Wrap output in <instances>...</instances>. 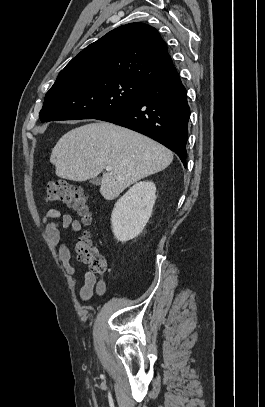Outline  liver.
Masks as SVG:
<instances>
[{"mask_svg": "<svg viewBox=\"0 0 265 407\" xmlns=\"http://www.w3.org/2000/svg\"><path fill=\"white\" fill-rule=\"evenodd\" d=\"M173 153L160 143L108 122L70 130L52 149L50 162L60 178L83 182L103 172L100 193L117 198L133 183L167 168ZM110 166L111 170L104 172Z\"/></svg>", "mask_w": 265, "mask_h": 407, "instance_id": "1", "label": "liver"}]
</instances>
